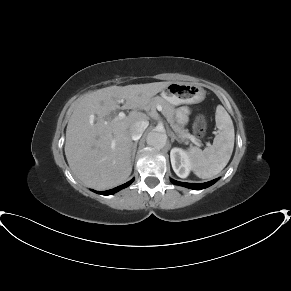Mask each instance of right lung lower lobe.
I'll list each match as a JSON object with an SVG mask.
<instances>
[{
    "instance_id": "obj_1",
    "label": "right lung lower lobe",
    "mask_w": 291,
    "mask_h": 291,
    "mask_svg": "<svg viewBox=\"0 0 291 291\" xmlns=\"http://www.w3.org/2000/svg\"><path fill=\"white\" fill-rule=\"evenodd\" d=\"M133 180L134 179L128 181L127 183H125V184H123L121 186H118V187H116L114 189H111V190H108V191H102V192L95 191V192L98 193V194H102V195H110V194H113V193H115V192H117V191L129 186L133 182Z\"/></svg>"
}]
</instances>
